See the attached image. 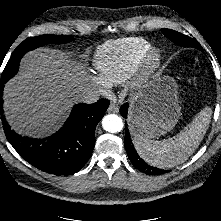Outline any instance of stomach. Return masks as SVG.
<instances>
[{
	"label": "stomach",
	"instance_id": "stomach-1",
	"mask_svg": "<svg viewBox=\"0 0 221 221\" xmlns=\"http://www.w3.org/2000/svg\"><path fill=\"white\" fill-rule=\"evenodd\" d=\"M180 113L175 80L157 73L131 99L129 129L135 137L154 139L171 131Z\"/></svg>",
	"mask_w": 221,
	"mask_h": 221
}]
</instances>
